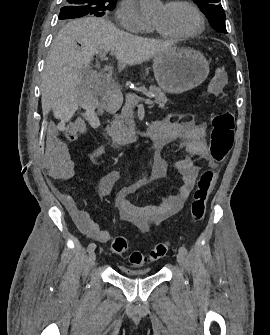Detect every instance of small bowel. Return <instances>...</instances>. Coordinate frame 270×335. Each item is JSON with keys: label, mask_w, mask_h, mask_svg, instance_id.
I'll use <instances>...</instances> for the list:
<instances>
[{"label": "small bowel", "mask_w": 270, "mask_h": 335, "mask_svg": "<svg viewBox=\"0 0 270 335\" xmlns=\"http://www.w3.org/2000/svg\"><path fill=\"white\" fill-rule=\"evenodd\" d=\"M80 124V121H75L63 127L65 125L63 121H46L45 133L66 134L69 139H73L72 134H75V128ZM158 125L159 135L155 143L154 165L150 178L159 180L167 176L171 167L162 156L161 151L167 145L176 143L179 149L186 153V156L176 161L172 167L182 184L176 194L167 196L161 203L146 206H136L127 200L126 196L136 190L135 186L124 187L119 191L115 199V207L121 220L135 225L141 231H148L152 225L181 210L194 188L199 171L193 157L207 158L206 124L162 119L158 121ZM44 141L47 144L46 152L50 158H40V165H45L53 176L56 173L59 178H72L71 169H79V162H73V158H69L67 154V151H72V144H62V139L56 138L55 135H45ZM103 154L104 148L98 147L90 154V158L96 159ZM119 178L118 169H112L97 176L95 189L100 199L111 194ZM63 199L82 233L100 243H106L110 239L109 231L95 222L86 208H76L75 201L70 196H64Z\"/></svg>", "instance_id": "obj_1"}]
</instances>
